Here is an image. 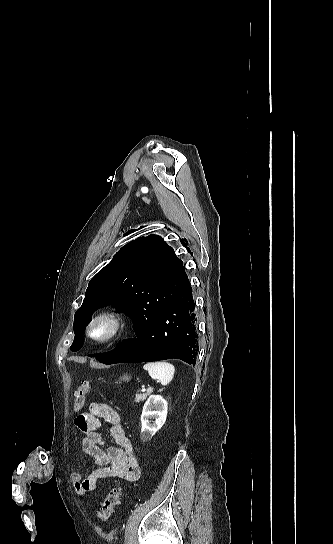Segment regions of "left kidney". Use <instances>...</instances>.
<instances>
[{
	"instance_id": "5707ae66",
	"label": "left kidney",
	"mask_w": 333,
	"mask_h": 544,
	"mask_svg": "<svg viewBox=\"0 0 333 544\" xmlns=\"http://www.w3.org/2000/svg\"><path fill=\"white\" fill-rule=\"evenodd\" d=\"M167 401L160 395H152L145 402L141 414V439L149 441L165 424ZM152 419L155 421L152 423Z\"/></svg>"
}]
</instances>
